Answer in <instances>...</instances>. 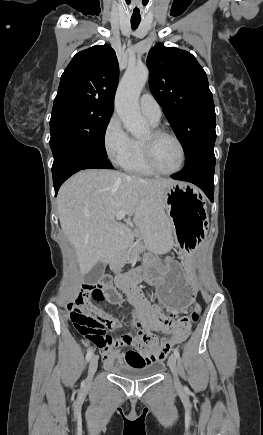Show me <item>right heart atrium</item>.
Wrapping results in <instances>:
<instances>
[{
    "label": "right heart atrium",
    "mask_w": 263,
    "mask_h": 435,
    "mask_svg": "<svg viewBox=\"0 0 263 435\" xmlns=\"http://www.w3.org/2000/svg\"><path fill=\"white\" fill-rule=\"evenodd\" d=\"M103 146L108 158L118 166H123L131 155L133 138L116 114L110 117L104 128Z\"/></svg>",
    "instance_id": "right-heart-atrium-1"
}]
</instances>
